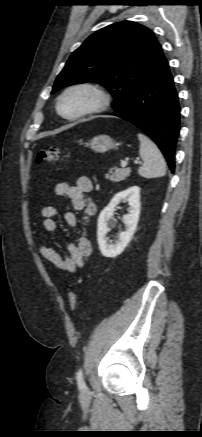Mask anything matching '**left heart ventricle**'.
<instances>
[{
    "mask_svg": "<svg viewBox=\"0 0 202 437\" xmlns=\"http://www.w3.org/2000/svg\"><path fill=\"white\" fill-rule=\"evenodd\" d=\"M94 101L93 96L84 90H77L69 93L61 103V111L65 115H74L89 105Z\"/></svg>",
    "mask_w": 202,
    "mask_h": 437,
    "instance_id": "obj_1",
    "label": "left heart ventricle"
}]
</instances>
